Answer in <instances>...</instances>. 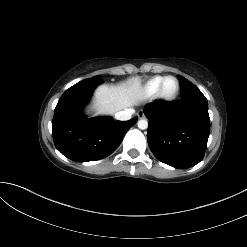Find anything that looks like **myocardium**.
Here are the masks:
<instances>
[{
    "label": "myocardium",
    "mask_w": 247,
    "mask_h": 247,
    "mask_svg": "<svg viewBox=\"0 0 247 247\" xmlns=\"http://www.w3.org/2000/svg\"><path fill=\"white\" fill-rule=\"evenodd\" d=\"M168 79H173L175 80L176 82V88L174 90L173 93L169 94V95H166L164 93V86H165V83ZM179 91H180V83H179V80L174 77V76H167L163 79L159 89H158V92H157V97L158 99L162 100V101H166V102H170V101H173L176 99V97L178 96L179 94Z\"/></svg>",
    "instance_id": "1"
}]
</instances>
